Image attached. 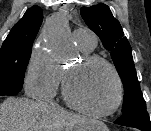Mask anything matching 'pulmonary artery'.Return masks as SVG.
<instances>
[{"mask_svg":"<svg viewBox=\"0 0 151 131\" xmlns=\"http://www.w3.org/2000/svg\"><path fill=\"white\" fill-rule=\"evenodd\" d=\"M73 37L77 44L86 49V50H93L96 46V36L95 34L88 30L83 28H78L73 31Z\"/></svg>","mask_w":151,"mask_h":131,"instance_id":"e3ab8cb5","label":"pulmonary artery"}]
</instances>
